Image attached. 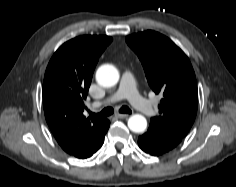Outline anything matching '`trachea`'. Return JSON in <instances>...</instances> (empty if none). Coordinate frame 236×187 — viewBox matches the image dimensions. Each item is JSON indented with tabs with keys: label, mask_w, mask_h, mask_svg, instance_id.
Instances as JSON below:
<instances>
[{
	"label": "trachea",
	"mask_w": 236,
	"mask_h": 187,
	"mask_svg": "<svg viewBox=\"0 0 236 187\" xmlns=\"http://www.w3.org/2000/svg\"><path fill=\"white\" fill-rule=\"evenodd\" d=\"M119 112L120 113H126V114H130L132 111L129 107L127 106H122L120 109H119ZM114 113V109L112 107H107V108H104L100 113L98 114H95V113H92V112H89V115L90 117H93V118H101V117H107V116H110Z\"/></svg>",
	"instance_id": "obj_1"
}]
</instances>
